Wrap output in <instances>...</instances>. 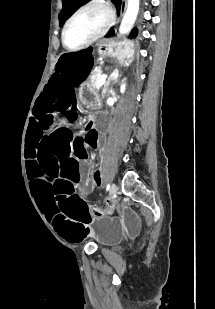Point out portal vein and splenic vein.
Returning <instances> with one entry per match:
<instances>
[{
    "label": "portal vein and splenic vein",
    "instance_id": "18ae733b",
    "mask_svg": "<svg viewBox=\"0 0 215 309\" xmlns=\"http://www.w3.org/2000/svg\"><path fill=\"white\" fill-rule=\"evenodd\" d=\"M107 76H108V74H102V76H100V78L98 80L99 86H101V84H103V82H105Z\"/></svg>",
    "mask_w": 215,
    "mask_h": 309
}]
</instances>
